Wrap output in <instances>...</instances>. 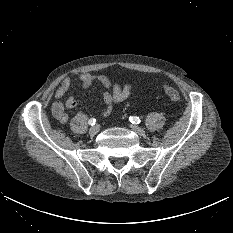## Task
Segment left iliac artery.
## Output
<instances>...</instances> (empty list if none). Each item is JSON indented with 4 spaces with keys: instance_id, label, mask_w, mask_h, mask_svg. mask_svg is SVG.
<instances>
[{
    "instance_id": "1",
    "label": "left iliac artery",
    "mask_w": 233,
    "mask_h": 233,
    "mask_svg": "<svg viewBox=\"0 0 233 233\" xmlns=\"http://www.w3.org/2000/svg\"><path fill=\"white\" fill-rule=\"evenodd\" d=\"M129 120L133 124H139L141 122L140 119H139V117H136V116L129 117Z\"/></svg>"
}]
</instances>
